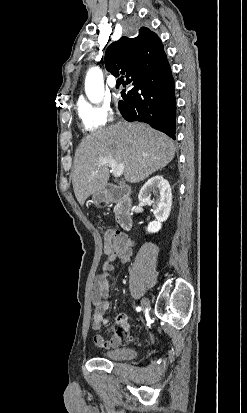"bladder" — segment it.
<instances>
[{
    "mask_svg": "<svg viewBox=\"0 0 247 413\" xmlns=\"http://www.w3.org/2000/svg\"><path fill=\"white\" fill-rule=\"evenodd\" d=\"M102 358L111 361H126L133 360L136 356V348L128 347L124 349L109 350L101 353Z\"/></svg>",
    "mask_w": 247,
    "mask_h": 413,
    "instance_id": "bladder-1",
    "label": "bladder"
}]
</instances>
